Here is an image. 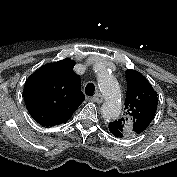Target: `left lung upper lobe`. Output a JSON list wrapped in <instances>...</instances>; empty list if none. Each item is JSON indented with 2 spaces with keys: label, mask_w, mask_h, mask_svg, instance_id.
<instances>
[{
  "label": "left lung upper lobe",
  "mask_w": 177,
  "mask_h": 177,
  "mask_svg": "<svg viewBox=\"0 0 177 177\" xmlns=\"http://www.w3.org/2000/svg\"><path fill=\"white\" fill-rule=\"evenodd\" d=\"M127 92L125 117L110 122L119 130L121 137L141 135L154 119L158 98L149 81L135 70H126Z\"/></svg>",
  "instance_id": "left-lung-upper-lobe-1"
}]
</instances>
